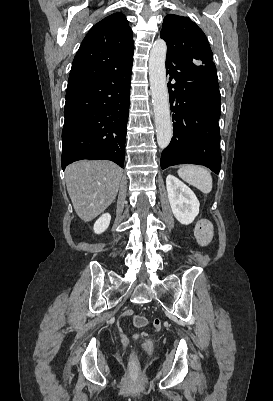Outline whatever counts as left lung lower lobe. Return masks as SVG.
I'll return each mask as SVG.
<instances>
[{"label": "left lung lower lobe", "mask_w": 273, "mask_h": 401, "mask_svg": "<svg viewBox=\"0 0 273 401\" xmlns=\"http://www.w3.org/2000/svg\"><path fill=\"white\" fill-rule=\"evenodd\" d=\"M166 73L170 83L175 81L168 85L173 137L161 154V168L192 163L218 174L221 99L215 64H196L167 53Z\"/></svg>", "instance_id": "0a47b994"}]
</instances>
